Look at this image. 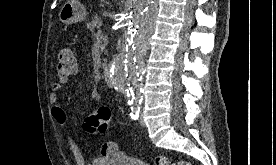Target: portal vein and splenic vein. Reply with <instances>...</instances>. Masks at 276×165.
Wrapping results in <instances>:
<instances>
[{
    "label": "portal vein and splenic vein",
    "mask_w": 276,
    "mask_h": 165,
    "mask_svg": "<svg viewBox=\"0 0 276 165\" xmlns=\"http://www.w3.org/2000/svg\"><path fill=\"white\" fill-rule=\"evenodd\" d=\"M103 35H102V31L101 30H98L97 34H96V38L99 39V38H102Z\"/></svg>",
    "instance_id": "1"
}]
</instances>
